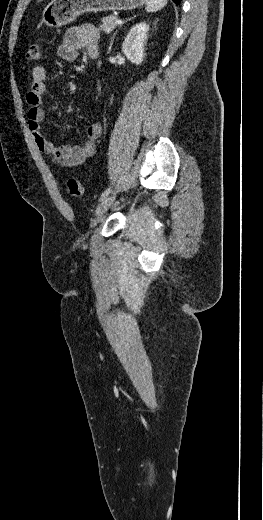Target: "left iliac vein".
<instances>
[{"label":"left iliac vein","mask_w":263,"mask_h":520,"mask_svg":"<svg viewBox=\"0 0 263 520\" xmlns=\"http://www.w3.org/2000/svg\"><path fill=\"white\" fill-rule=\"evenodd\" d=\"M114 200H115V194L104 198L96 208V216L101 217L102 215H104L106 213V211L109 209V207L111 206V204L114 202Z\"/></svg>","instance_id":"1"}]
</instances>
